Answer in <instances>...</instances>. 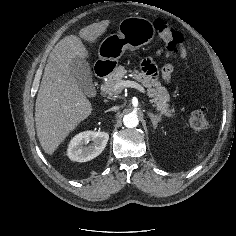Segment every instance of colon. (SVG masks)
<instances>
[{
  "label": "colon",
  "instance_id": "obj_1",
  "mask_svg": "<svg viewBox=\"0 0 236 236\" xmlns=\"http://www.w3.org/2000/svg\"><path fill=\"white\" fill-rule=\"evenodd\" d=\"M155 29L166 44L168 51H178L182 49L183 36L180 32L167 25L162 20H157ZM189 128L192 131L199 132L209 128V121L206 117L204 109H197L193 111L188 120Z\"/></svg>",
  "mask_w": 236,
  "mask_h": 236
}]
</instances>
